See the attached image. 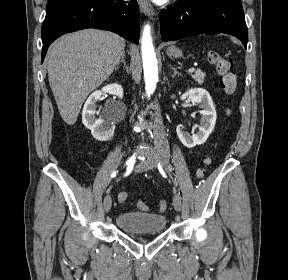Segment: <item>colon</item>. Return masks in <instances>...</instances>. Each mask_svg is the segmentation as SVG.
<instances>
[{
	"label": "colon",
	"mask_w": 288,
	"mask_h": 280,
	"mask_svg": "<svg viewBox=\"0 0 288 280\" xmlns=\"http://www.w3.org/2000/svg\"><path fill=\"white\" fill-rule=\"evenodd\" d=\"M207 60L210 64H212L215 67L216 71L222 76L221 77V85H222L224 91L228 94L233 93L235 88H236L237 79H236L235 73L231 71L230 61L227 60L226 58L222 57L216 51H210L208 53ZM209 164H210V160L207 159L205 161L204 167L197 170V172H196L197 178H202L205 175L206 168ZM127 198H128L127 193H122L118 197V201L120 203H124L127 200ZM166 206H167L166 202L162 200L158 203L157 210L159 212H163L166 210ZM137 207L141 210H144V211H147L149 209L148 205L142 201L137 202Z\"/></svg>",
	"instance_id": "colon-1"
}]
</instances>
